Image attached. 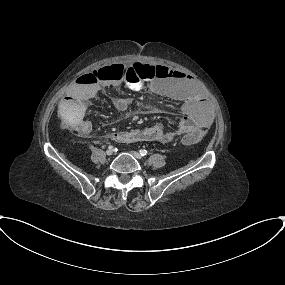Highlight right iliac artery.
I'll return each instance as SVG.
<instances>
[{"mask_svg": "<svg viewBox=\"0 0 285 285\" xmlns=\"http://www.w3.org/2000/svg\"><path fill=\"white\" fill-rule=\"evenodd\" d=\"M108 149H113V146H109Z\"/></svg>", "mask_w": 285, "mask_h": 285, "instance_id": "1", "label": "right iliac artery"}]
</instances>
